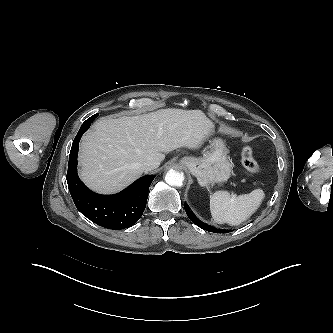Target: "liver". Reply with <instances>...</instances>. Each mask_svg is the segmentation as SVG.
Here are the masks:
<instances>
[{"instance_id": "6515ba94", "label": "liver", "mask_w": 333, "mask_h": 333, "mask_svg": "<svg viewBox=\"0 0 333 333\" xmlns=\"http://www.w3.org/2000/svg\"><path fill=\"white\" fill-rule=\"evenodd\" d=\"M212 132L211 121L199 110L168 108L132 117H103L82 138L80 177L96 192L116 193L142 175L146 159L160 163L177 148H199Z\"/></svg>"}]
</instances>
